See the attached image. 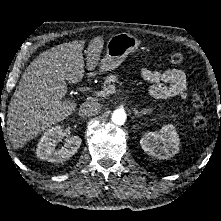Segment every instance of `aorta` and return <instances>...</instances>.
<instances>
[{
  "label": "aorta",
  "mask_w": 221,
  "mask_h": 221,
  "mask_svg": "<svg viewBox=\"0 0 221 221\" xmlns=\"http://www.w3.org/2000/svg\"><path fill=\"white\" fill-rule=\"evenodd\" d=\"M111 120L115 125L121 126L126 121V113L122 109H117L112 113Z\"/></svg>",
  "instance_id": "1"
}]
</instances>
